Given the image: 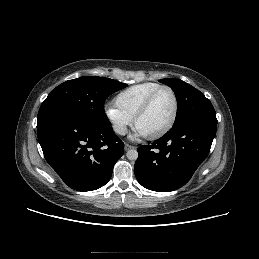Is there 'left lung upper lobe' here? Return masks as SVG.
<instances>
[{
	"label": "left lung upper lobe",
	"instance_id": "5c2ea615",
	"mask_svg": "<svg viewBox=\"0 0 259 259\" xmlns=\"http://www.w3.org/2000/svg\"><path fill=\"white\" fill-rule=\"evenodd\" d=\"M175 93L178 110L174 125L191 119L217 122L215 110L204 94L180 79H161Z\"/></svg>",
	"mask_w": 259,
	"mask_h": 259
}]
</instances>
